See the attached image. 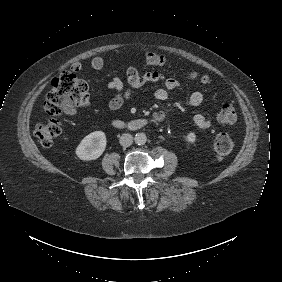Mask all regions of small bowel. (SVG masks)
Here are the masks:
<instances>
[{
  "mask_svg": "<svg viewBox=\"0 0 282 282\" xmlns=\"http://www.w3.org/2000/svg\"><path fill=\"white\" fill-rule=\"evenodd\" d=\"M104 59L100 56L92 58L90 66L94 70H100L104 67ZM71 69L74 72H78L82 69L80 62L73 63ZM148 83H161V87L157 88L154 92V98L159 102H170L174 99V96L170 91L180 88V83L173 79L165 77L159 72H147L141 73L137 68L131 67L127 72V85L123 80L116 76L109 83L108 88L114 93L107 103V106L111 110H119L133 95L134 91ZM203 101V95L199 91H194L188 94L184 102L189 106H198ZM67 114L72 115L75 113L74 108L66 109ZM158 111L157 113H159ZM155 113L154 118L157 117ZM162 113V112H161ZM193 121L197 128L201 131H207L211 126V119L201 113L195 114Z\"/></svg>",
  "mask_w": 282,
  "mask_h": 282,
  "instance_id": "obj_1",
  "label": "small bowel"
}]
</instances>
